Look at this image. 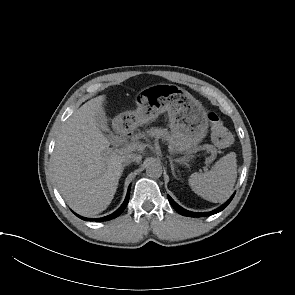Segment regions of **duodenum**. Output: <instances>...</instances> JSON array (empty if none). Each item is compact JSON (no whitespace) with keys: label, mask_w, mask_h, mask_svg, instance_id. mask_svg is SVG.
<instances>
[{"label":"duodenum","mask_w":295,"mask_h":295,"mask_svg":"<svg viewBox=\"0 0 295 295\" xmlns=\"http://www.w3.org/2000/svg\"><path fill=\"white\" fill-rule=\"evenodd\" d=\"M116 136L118 137V142L125 145L129 142L131 133L128 130V124L125 121H121L116 127Z\"/></svg>","instance_id":"1"}]
</instances>
